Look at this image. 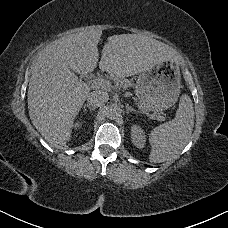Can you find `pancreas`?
<instances>
[{
    "label": "pancreas",
    "mask_w": 228,
    "mask_h": 228,
    "mask_svg": "<svg viewBox=\"0 0 228 228\" xmlns=\"http://www.w3.org/2000/svg\"><path fill=\"white\" fill-rule=\"evenodd\" d=\"M110 79H113L115 82H119L121 87H131L133 86L132 81L125 79V78H119L117 76H111ZM142 110L147 111L146 108H144L141 104H140ZM155 114V113H154ZM163 119V118H162ZM161 118L159 120H162Z\"/></svg>",
    "instance_id": "pancreas-1"
}]
</instances>
